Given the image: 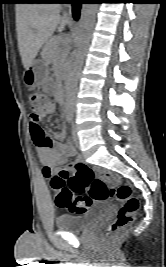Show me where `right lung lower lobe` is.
<instances>
[{
	"mask_svg": "<svg viewBox=\"0 0 166 267\" xmlns=\"http://www.w3.org/2000/svg\"><path fill=\"white\" fill-rule=\"evenodd\" d=\"M23 1H25L26 3H54L56 2L55 0H23ZM71 2L73 4V9H72L73 16H74V19L77 20L79 18L80 4L82 3V1L73 0Z\"/></svg>",
	"mask_w": 166,
	"mask_h": 267,
	"instance_id": "98d812e1",
	"label": "right lung lower lobe"
}]
</instances>
